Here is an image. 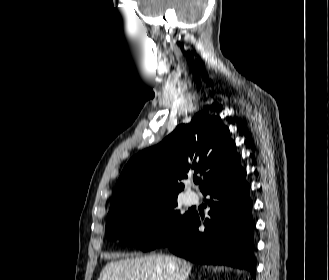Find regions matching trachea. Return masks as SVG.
<instances>
[{"label":"trachea","mask_w":329,"mask_h":280,"mask_svg":"<svg viewBox=\"0 0 329 280\" xmlns=\"http://www.w3.org/2000/svg\"><path fill=\"white\" fill-rule=\"evenodd\" d=\"M194 182H195L196 184H198V183H200V180H198V179H194Z\"/></svg>","instance_id":"3493384b"}]
</instances>
